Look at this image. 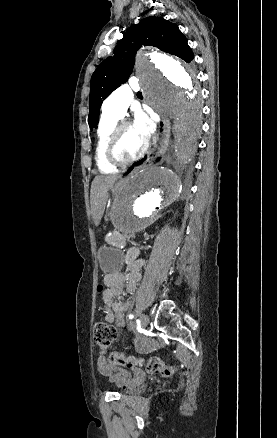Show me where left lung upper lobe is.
Segmentation results:
<instances>
[{
    "mask_svg": "<svg viewBox=\"0 0 277 438\" xmlns=\"http://www.w3.org/2000/svg\"><path fill=\"white\" fill-rule=\"evenodd\" d=\"M124 37L111 57L105 59L91 78L88 116L89 127L97 126L103 100L132 73L136 51L143 45H150L176 55L186 62L194 58L187 38L174 23L155 16L146 17L123 33Z\"/></svg>",
    "mask_w": 277,
    "mask_h": 438,
    "instance_id": "left-lung-upper-lobe-1",
    "label": "left lung upper lobe"
}]
</instances>
